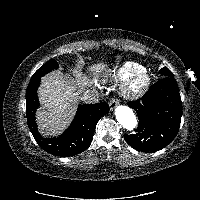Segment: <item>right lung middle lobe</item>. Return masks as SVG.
<instances>
[{
  "instance_id": "obj_1",
  "label": "right lung middle lobe",
  "mask_w": 200,
  "mask_h": 200,
  "mask_svg": "<svg viewBox=\"0 0 200 200\" xmlns=\"http://www.w3.org/2000/svg\"><path fill=\"white\" fill-rule=\"evenodd\" d=\"M59 65L58 62L54 59H50L47 63H45L42 67H40L32 76L30 81H33L35 79H39L48 72H50L53 69H58Z\"/></svg>"
}]
</instances>
